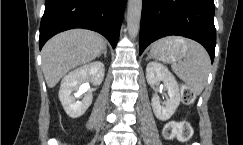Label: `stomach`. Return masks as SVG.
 <instances>
[{
	"label": "stomach",
	"mask_w": 243,
	"mask_h": 145,
	"mask_svg": "<svg viewBox=\"0 0 243 145\" xmlns=\"http://www.w3.org/2000/svg\"><path fill=\"white\" fill-rule=\"evenodd\" d=\"M179 37H168L154 43L150 54L154 59L165 63H175L184 57L187 52L186 42H176Z\"/></svg>",
	"instance_id": "stomach-1"
}]
</instances>
